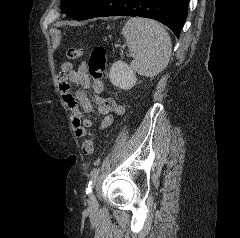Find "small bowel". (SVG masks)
I'll use <instances>...</instances> for the list:
<instances>
[{"label": "small bowel", "instance_id": "c3829d8e", "mask_svg": "<svg viewBox=\"0 0 240 238\" xmlns=\"http://www.w3.org/2000/svg\"><path fill=\"white\" fill-rule=\"evenodd\" d=\"M57 81L62 98L72 112V125L78 137L85 135V128L93 125V121L84 117L79 109V105L86 113L92 112L94 104L99 114L103 115L100 129H104L113 122V115H123L124 107L116 103L113 98L103 97L102 81H91L86 64L83 63L78 69H74L71 63L65 62L59 66ZM70 82L80 85L83 89L92 88L94 93V102L85 94L83 90H78L75 94L71 92Z\"/></svg>", "mask_w": 240, "mask_h": 238}]
</instances>
